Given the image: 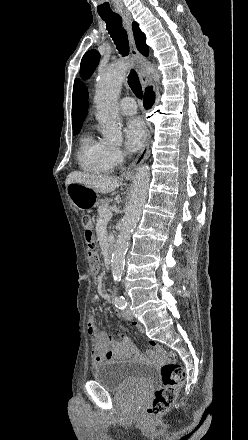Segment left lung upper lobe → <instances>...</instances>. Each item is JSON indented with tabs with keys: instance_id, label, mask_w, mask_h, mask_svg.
<instances>
[{
	"instance_id": "obj_1",
	"label": "left lung upper lobe",
	"mask_w": 248,
	"mask_h": 440,
	"mask_svg": "<svg viewBox=\"0 0 248 440\" xmlns=\"http://www.w3.org/2000/svg\"><path fill=\"white\" fill-rule=\"evenodd\" d=\"M100 59V54L96 50L88 51L82 58L80 70L82 77H89L94 71Z\"/></svg>"
}]
</instances>
